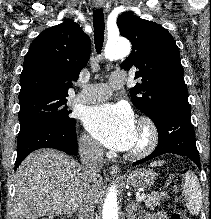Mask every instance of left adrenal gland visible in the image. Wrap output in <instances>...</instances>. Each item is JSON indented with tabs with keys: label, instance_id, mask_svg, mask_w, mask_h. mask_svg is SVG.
I'll return each instance as SVG.
<instances>
[{
	"label": "left adrenal gland",
	"instance_id": "a2214340",
	"mask_svg": "<svg viewBox=\"0 0 211 219\" xmlns=\"http://www.w3.org/2000/svg\"><path fill=\"white\" fill-rule=\"evenodd\" d=\"M138 204L134 203V202H129V204L127 205L126 208V217L127 219H135L137 217V215H139L138 213ZM137 219V218H136Z\"/></svg>",
	"mask_w": 211,
	"mask_h": 219
}]
</instances>
